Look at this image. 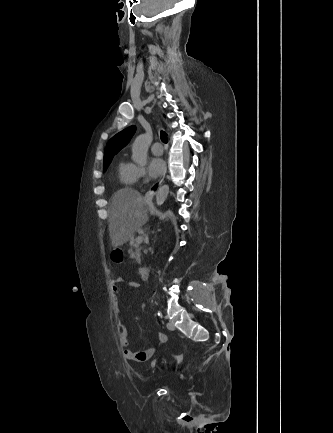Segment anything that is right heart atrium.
I'll list each match as a JSON object with an SVG mask.
<instances>
[{
	"label": "right heart atrium",
	"mask_w": 333,
	"mask_h": 433,
	"mask_svg": "<svg viewBox=\"0 0 333 433\" xmlns=\"http://www.w3.org/2000/svg\"><path fill=\"white\" fill-rule=\"evenodd\" d=\"M137 178H143L145 176L146 170L145 167L140 165H135Z\"/></svg>",
	"instance_id": "1"
}]
</instances>
